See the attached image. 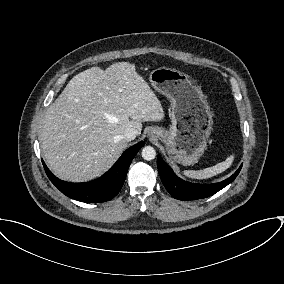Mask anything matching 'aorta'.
Masks as SVG:
<instances>
[{
  "label": "aorta",
  "mask_w": 284,
  "mask_h": 284,
  "mask_svg": "<svg viewBox=\"0 0 284 284\" xmlns=\"http://www.w3.org/2000/svg\"><path fill=\"white\" fill-rule=\"evenodd\" d=\"M141 154L144 160L150 161L156 157V150L152 146H145Z\"/></svg>",
  "instance_id": "obj_1"
}]
</instances>
